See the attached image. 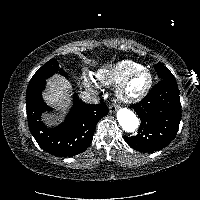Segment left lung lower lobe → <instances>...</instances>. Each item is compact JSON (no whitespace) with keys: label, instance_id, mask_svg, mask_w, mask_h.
Wrapping results in <instances>:
<instances>
[{"label":"left lung lower lobe","instance_id":"1","mask_svg":"<svg viewBox=\"0 0 200 200\" xmlns=\"http://www.w3.org/2000/svg\"><path fill=\"white\" fill-rule=\"evenodd\" d=\"M141 124L138 134L124 137L140 152H155L166 147L176 136L181 119V104L176 80L162 79L139 103L131 105Z\"/></svg>","mask_w":200,"mask_h":200}]
</instances>
